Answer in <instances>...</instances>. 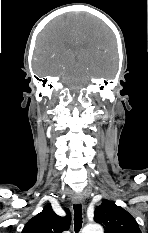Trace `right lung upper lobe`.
I'll use <instances>...</instances> for the list:
<instances>
[{"mask_svg":"<svg viewBox=\"0 0 148 233\" xmlns=\"http://www.w3.org/2000/svg\"><path fill=\"white\" fill-rule=\"evenodd\" d=\"M67 216L60 217L53 210L50 204L46 205L42 212L30 219L24 226L21 233H62L68 230L71 223L69 210Z\"/></svg>","mask_w":148,"mask_h":233,"instance_id":"cb5924a9","label":"right lung upper lobe"}]
</instances>
